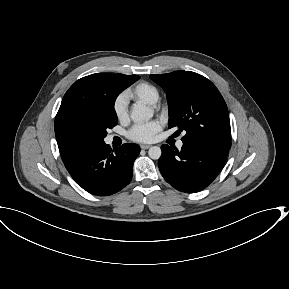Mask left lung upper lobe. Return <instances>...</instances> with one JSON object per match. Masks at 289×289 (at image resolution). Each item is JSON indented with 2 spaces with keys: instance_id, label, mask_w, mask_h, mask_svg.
<instances>
[{
  "instance_id": "obj_1",
  "label": "left lung upper lobe",
  "mask_w": 289,
  "mask_h": 289,
  "mask_svg": "<svg viewBox=\"0 0 289 289\" xmlns=\"http://www.w3.org/2000/svg\"><path fill=\"white\" fill-rule=\"evenodd\" d=\"M167 94L169 128L186 131L182 141L231 148V128L226 103L216 86L191 71L150 75Z\"/></svg>"
}]
</instances>
